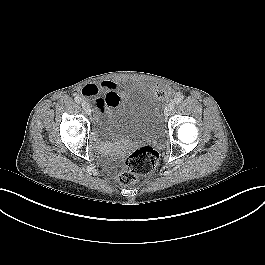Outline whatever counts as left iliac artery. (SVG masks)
Instances as JSON below:
<instances>
[{"label": "left iliac artery", "mask_w": 265, "mask_h": 265, "mask_svg": "<svg viewBox=\"0 0 265 265\" xmlns=\"http://www.w3.org/2000/svg\"><path fill=\"white\" fill-rule=\"evenodd\" d=\"M182 100H183L182 97H177V98L174 99V103H175V104H179V103L182 102Z\"/></svg>", "instance_id": "left-iliac-artery-1"}]
</instances>
